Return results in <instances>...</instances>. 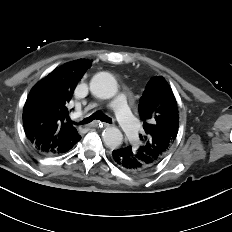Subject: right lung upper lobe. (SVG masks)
I'll return each instance as SVG.
<instances>
[{
    "mask_svg": "<svg viewBox=\"0 0 232 232\" xmlns=\"http://www.w3.org/2000/svg\"><path fill=\"white\" fill-rule=\"evenodd\" d=\"M91 60L66 63L49 73L31 89L23 108V126L27 139L45 155L69 151L80 139L69 123L66 105Z\"/></svg>",
    "mask_w": 232,
    "mask_h": 232,
    "instance_id": "cb5924a9",
    "label": "right lung upper lobe"
}]
</instances>
